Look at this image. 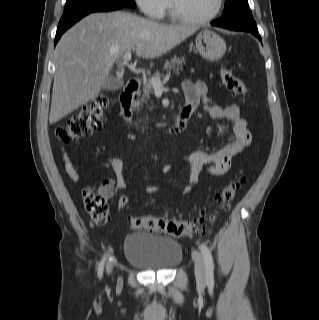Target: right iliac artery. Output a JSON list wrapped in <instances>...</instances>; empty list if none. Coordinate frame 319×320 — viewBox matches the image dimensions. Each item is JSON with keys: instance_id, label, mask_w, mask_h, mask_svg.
<instances>
[{"instance_id": "obj_1", "label": "right iliac artery", "mask_w": 319, "mask_h": 320, "mask_svg": "<svg viewBox=\"0 0 319 320\" xmlns=\"http://www.w3.org/2000/svg\"><path fill=\"white\" fill-rule=\"evenodd\" d=\"M105 259H106V257H104V258L102 259V261L100 262V264H99V268H98V275H99V277H101L102 274H103V268H104Z\"/></svg>"}]
</instances>
